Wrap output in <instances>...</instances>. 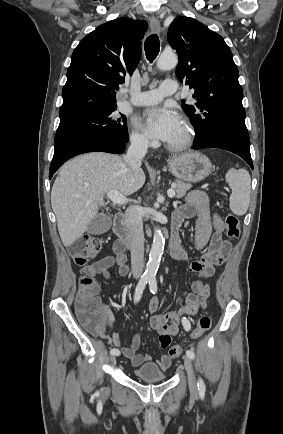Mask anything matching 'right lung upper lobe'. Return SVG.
I'll return each mask as SVG.
<instances>
[{"mask_svg": "<svg viewBox=\"0 0 283 434\" xmlns=\"http://www.w3.org/2000/svg\"><path fill=\"white\" fill-rule=\"evenodd\" d=\"M146 29L143 20L118 18L84 37L71 57L59 115L117 107L116 90L140 61Z\"/></svg>", "mask_w": 283, "mask_h": 434, "instance_id": "obj_1", "label": "right lung upper lobe"}]
</instances>
